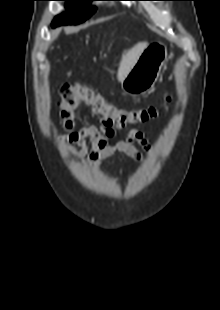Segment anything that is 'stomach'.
<instances>
[{"label":"stomach","instance_id":"1","mask_svg":"<svg viewBox=\"0 0 220 310\" xmlns=\"http://www.w3.org/2000/svg\"><path fill=\"white\" fill-rule=\"evenodd\" d=\"M167 59V47L156 41L147 45L128 75L121 82L129 95L146 94L156 83Z\"/></svg>","mask_w":220,"mask_h":310}]
</instances>
